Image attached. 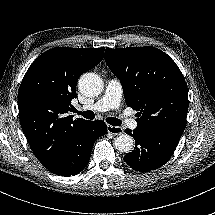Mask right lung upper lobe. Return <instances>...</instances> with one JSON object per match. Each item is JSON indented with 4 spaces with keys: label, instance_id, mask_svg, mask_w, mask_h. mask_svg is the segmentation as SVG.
I'll return each mask as SVG.
<instances>
[{
    "label": "right lung upper lobe",
    "instance_id": "cb5924a9",
    "mask_svg": "<svg viewBox=\"0 0 215 215\" xmlns=\"http://www.w3.org/2000/svg\"><path fill=\"white\" fill-rule=\"evenodd\" d=\"M104 48L57 47L41 54L29 67L18 93L21 127L44 167L65 148L71 132L86 122L73 120L72 99L79 77L98 65Z\"/></svg>",
    "mask_w": 215,
    "mask_h": 215
}]
</instances>
